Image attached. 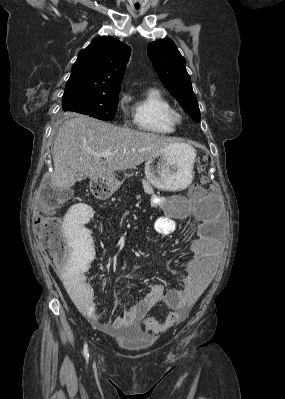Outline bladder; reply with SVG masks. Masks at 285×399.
Listing matches in <instances>:
<instances>
[{"label":"bladder","instance_id":"1","mask_svg":"<svg viewBox=\"0 0 285 399\" xmlns=\"http://www.w3.org/2000/svg\"><path fill=\"white\" fill-rule=\"evenodd\" d=\"M116 341L132 352L145 350L150 342L149 338L140 332L134 336L116 338Z\"/></svg>","mask_w":285,"mask_h":399}]
</instances>
